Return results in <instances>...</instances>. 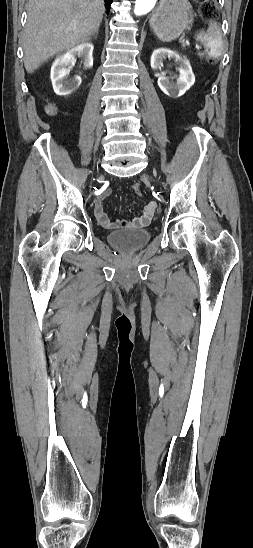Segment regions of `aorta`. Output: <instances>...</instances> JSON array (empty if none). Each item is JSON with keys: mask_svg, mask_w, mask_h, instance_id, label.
Here are the masks:
<instances>
[{"mask_svg": "<svg viewBox=\"0 0 253 548\" xmlns=\"http://www.w3.org/2000/svg\"><path fill=\"white\" fill-rule=\"evenodd\" d=\"M156 2L157 0H136L134 8L135 15L140 16L147 14L154 8Z\"/></svg>", "mask_w": 253, "mask_h": 548, "instance_id": "aorta-1", "label": "aorta"}]
</instances>
